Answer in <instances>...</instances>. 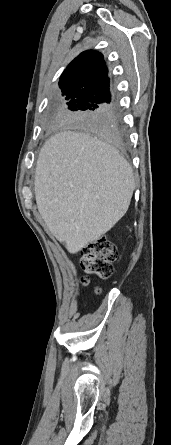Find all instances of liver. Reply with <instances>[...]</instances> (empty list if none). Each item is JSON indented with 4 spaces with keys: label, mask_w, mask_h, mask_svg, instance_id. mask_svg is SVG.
I'll use <instances>...</instances> for the list:
<instances>
[{
    "label": "liver",
    "mask_w": 171,
    "mask_h": 445,
    "mask_svg": "<svg viewBox=\"0 0 171 445\" xmlns=\"http://www.w3.org/2000/svg\"><path fill=\"white\" fill-rule=\"evenodd\" d=\"M134 189L130 164L89 134L58 132L40 151L34 181L38 211L70 253L113 228L127 212Z\"/></svg>",
    "instance_id": "1"
}]
</instances>
